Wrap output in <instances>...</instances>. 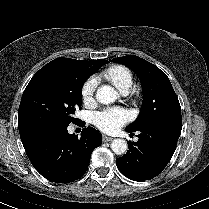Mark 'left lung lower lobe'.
I'll return each mask as SVG.
<instances>
[{
	"label": "left lung lower lobe",
	"mask_w": 209,
	"mask_h": 209,
	"mask_svg": "<svg viewBox=\"0 0 209 209\" xmlns=\"http://www.w3.org/2000/svg\"><path fill=\"white\" fill-rule=\"evenodd\" d=\"M181 129L182 125H159L138 130L139 140L130 142L129 151L116 159L119 171L127 178L140 182L159 175L175 152Z\"/></svg>",
	"instance_id": "0a47b994"
}]
</instances>
